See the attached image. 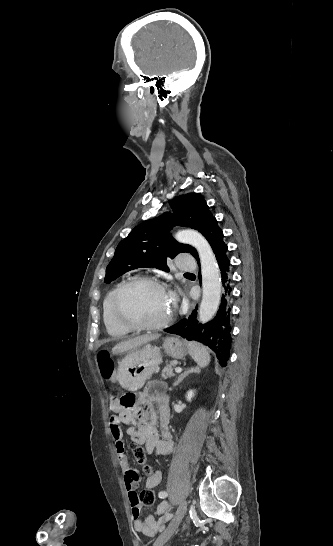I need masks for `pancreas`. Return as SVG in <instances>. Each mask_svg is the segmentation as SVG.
<instances>
[{"label": "pancreas", "mask_w": 333, "mask_h": 546, "mask_svg": "<svg viewBox=\"0 0 333 546\" xmlns=\"http://www.w3.org/2000/svg\"><path fill=\"white\" fill-rule=\"evenodd\" d=\"M174 367H175V363H174V362H169V363L164 367L161 376H162L164 379L172 378V377L175 375L174 372H173Z\"/></svg>", "instance_id": "1"}]
</instances>
